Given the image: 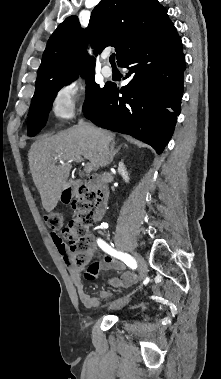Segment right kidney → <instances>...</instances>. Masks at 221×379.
<instances>
[{
	"mask_svg": "<svg viewBox=\"0 0 221 379\" xmlns=\"http://www.w3.org/2000/svg\"><path fill=\"white\" fill-rule=\"evenodd\" d=\"M118 172L123 177V179L125 180V182L128 183L130 178H129L128 172H127V170L125 168V165H124V163L122 161L119 162V164H118Z\"/></svg>",
	"mask_w": 221,
	"mask_h": 379,
	"instance_id": "ca27d5eb",
	"label": "right kidney"
}]
</instances>
